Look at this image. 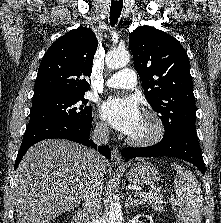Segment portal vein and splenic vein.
Instances as JSON below:
<instances>
[{
  "label": "portal vein and splenic vein",
  "instance_id": "portal-vein-and-splenic-vein-1",
  "mask_svg": "<svg viewBox=\"0 0 221 223\" xmlns=\"http://www.w3.org/2000/svg\"><path fill=\"white\" fill-rule=\"evenodd\" d=\"M159 192V189L155 190L154 192H145V193H137L136 194H139L140 196L142 197H148L149 195H151L152 193H158Z\"/></svg>",
  "mask_w": 221,
  "mask_h": 223
}]
</instances>
